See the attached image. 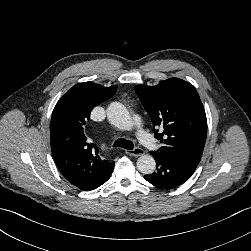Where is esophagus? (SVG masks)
<instances>
[{
    "label": "esophagus",
    "mask_w": 251,
    "mask_h": 251,
    "mask_svg": "<svg viewBox=\"0 0 251 251\" xmlns=\"http://www.w3.org/2000/svg\"><path fill=\"white\" fill-rule=\"evenodd\" d=\"M144 153H145V151L140 147H136L132 150H126V154L131 155V156H135V157H139V156L143 155Z\"/></svg>",
    "instance_id": "obj_1"
}]
</instances>
